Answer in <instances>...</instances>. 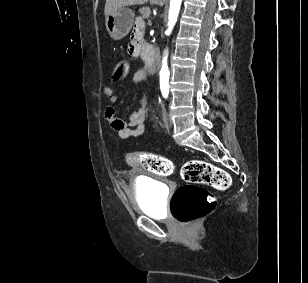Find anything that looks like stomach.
<instances>
[{"mask_svg": "<svg viewBox=\"0 0 308 283\" xmlns=\"http://www.w3.org/2000/svg\"><path fill=\"white\" fill-rule=\"evenodd\" d=\"M134 21V12L125 7H118L105 20L106 29L114 40H121L130 32Z\"/></svg>", "mask_w": 308, "mask_h": 283, "instance_id": "stomach-1", "label": "stomach"}]
</instances>
